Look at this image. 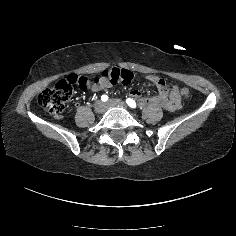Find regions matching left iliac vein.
<instances>
[{
	"mask_svg": "<svg viewBox=\"0 0 236 236\" xmlns=\"http://www.w3.org/2000/svg\"><path fill=\"white\" fill-rule=\"evenodd\" d=\"M122 107V108H126V103L122 100H118V99H111L106 103V107L110 108V107Z\"/></svg>",
	"mask_w": 236,
	"mask_h": 236,
	"instance_id": "left-iliac-vein-1",
	"label": "left iliac vein"
}]
</instances>
